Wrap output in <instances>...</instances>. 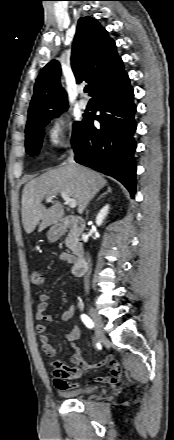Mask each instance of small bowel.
Listing matches in <instances>:
<instances>
[{"instance_id": "1", "label": "small bowel", "mask_w": 174, "mask_h": 440, "mask_svg": "<svg viewBox=\"0 0 174 440\" xmlns=\"http://www.w3.org/2000/svg\"><path fill=\"white\" fill-rule=\"evenodd\" d=\"M60 259L65 262H72V257L69 254L63 253ZM49 296L46 294H41L39 296V303L36 308V317L40 321L36 330L39 333V340L42 346L43 352L46 356L54 358L57 355V350L51 344L47 332V324L51 322L53 317L48 312L49 306ZM75 307H71L68 311L61 315L62 321H68L74 314ZM80 336V329L78 326L74 325L71 329L64 335V338L70 342L75 341ZM76 352L69 356L67 361L71 366H68L65 362L61 360H56L53 363V376L54 383L57 388L60 389H75L79 386L78 379L82 375V370L99 369L106 367L107 374L105 376L94 378L95 383H109L116 384L119 378L120 366L115 360L113 355H108L106 358L95 362L87 363L81 356L78 347H75Z\"/></svg>"}]
</instances>
